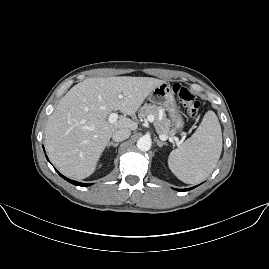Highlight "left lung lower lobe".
Returning <instances> with one entry per match:
<instances>
[{"instance_id":"1","label":"left lung lower lobe","mask_w":269,"mask_h":269,"mask_svg":"<svg viewBox=\"0 0 269 269\" xmlns=\"http://www.w3.org/2000/svg\"><path fill=\"white\" fill-rule=\"evenodd\" d=\"M178 191H186V190H189V189H177Z\"/></svg>"}]
</instances>
